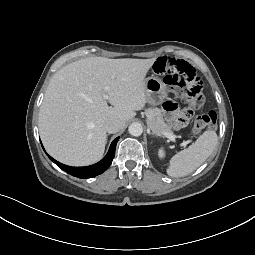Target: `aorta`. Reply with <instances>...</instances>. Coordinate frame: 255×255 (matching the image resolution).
I'll return each mask as SVG.
<instances>
[{"label": "aorta", "instance_id": "aorta-1", "mask_svg": "<svg viewBox=\"0 0 255 255\" xmlns=\"http://www.w3.org/2000/svg\"><path fill=\"white\" fill-rule=\"evenodd\" d=\"M128 131L132 136L137 137L142 134L143 128H142V125L139 123H132V124H130Z\"/></svg>", "mask_w": 255, "mask_h": 255}]
</instances>
